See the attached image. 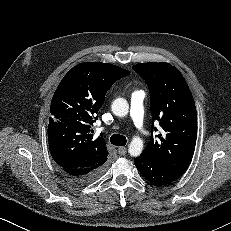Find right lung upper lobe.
Returning a JSON list of instances; mask_svg holds the SVG:
<instances>
[{"instance_id":"right-lung-upper-lobe-1","label":"right lung upper lobe","mask_w":231,"mask_h":231,"mask_svg":"<svg viewBox=\"0 0 231 231\" xmlns=\"http://www.w3.org/2000/svg\"><path fill=\"white\" fill-rule=\"evenodd\" d=\"M129 71L110 63L86 62L73 67L61 80L50 105L49 149L62 168H91L107 160L102 137L93 139L106 92Z\"/></svg>"}]
</instances>
